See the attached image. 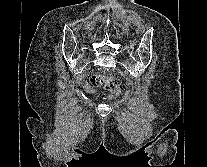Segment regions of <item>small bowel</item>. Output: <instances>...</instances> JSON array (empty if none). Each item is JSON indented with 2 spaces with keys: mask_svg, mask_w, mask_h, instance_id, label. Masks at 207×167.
Masks as SVG:
<instances>
[{
  "mask_svg": "<svg viewBox=\"0 0 207 167\" xmlns=\"http://www.w3.org/2000/svg\"><path fill=\"white\" fill-rule=\"evenodd\" d=\"M85 90L87 91V92H92V89H91V87L89 86V85H85Z\"/></svg>",
  "mask_w": 207,
  "mask_h": 167,
  "instance_id": "obj_1",
  "label": "small bowel"
}]
</instances>
